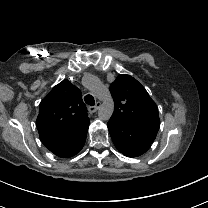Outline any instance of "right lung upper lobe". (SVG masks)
I'll return each instance as SVG.
<instances>
[{
  "mask_svg": "<svg viewBox=\"0 0 208 208\" xmlns=\"http://www.w3.org/2000/svg\"><path fill=\"white\" fill-rule=\"evenodd\" d=\"M89 123L80 90L63 80L40 102L36 126L40 140L59 138Z\"/></svg>",
  "mask_w": 208,
  "mask_h": 208,
  "instance_id": "right-lung-upper-lobe-1",
  "label": "right lung upper lobe"
}]
</instances>
